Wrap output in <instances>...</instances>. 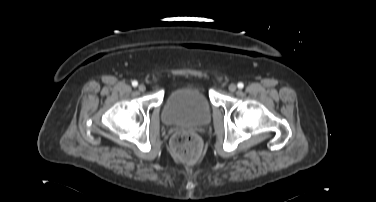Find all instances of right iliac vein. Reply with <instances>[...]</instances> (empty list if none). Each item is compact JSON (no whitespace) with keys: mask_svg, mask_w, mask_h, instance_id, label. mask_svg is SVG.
Returning <instances> with one entry per match:
<instances>
[{"mask_svg":"<svg viewBox=\"0 0 376 202\" xmlns=\"http://www.w3.org/2000/svg\"><path fill=\"white\" fill-rule=\"evenodd\" d=\"M138 89H139V91L144 92L145 89H146V87H145L144 84H140V85L138 86Z\"/></svg>","mask_w":376,"mask_h":202,"instance_id":"1","label":"right iliac vein"}]
</instances>
